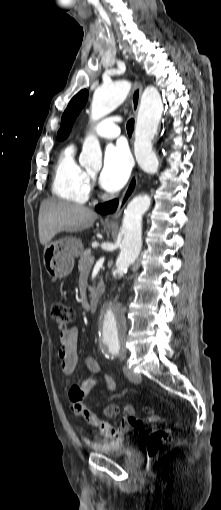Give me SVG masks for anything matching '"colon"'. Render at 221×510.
<instances>
[{"label": "colon", "mask_w": 221, "mask_h": 510, "mask_svg": "<svg viewBox=\"0 0 221 510\" xmlns=\"http://www.w3.org/2000/svg\"><path fill=\"white\" fill-rule=\"evenodd\" d=\"M50 312L59 331L66 332L67 330L70 329V326L75 317V313L72 308H70L69 306L65 305L62 302L56 301L52 303ZM80 395L84 397L85 392L81 390ZM116 413L117 410L111 407L107 408L104 411V415L109 417L114 416ZM83 416L90 424L98 427L100 430L106 429L105 422L98 419V417L87 408L83 410ZM157 420L158 416L148 412L144 418H141L136 415H130L128 418V423L133 427H138L144 423H154ZM170 440L171 433L168 429H157L153 431L149 435L146 443V450L148 456L149 457L156 456L170 443Z\"/></svg>", "instance_id": "colon-1"}]
</instances>
